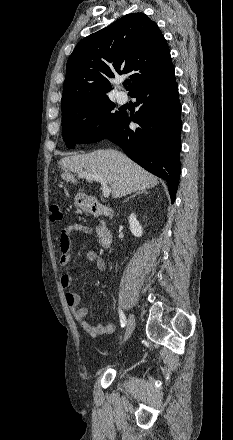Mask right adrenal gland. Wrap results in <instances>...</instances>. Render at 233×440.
I'll use <instances>...</instances> for the list:
<instances>
[{
    "label": "right adrenal gland",
    "mask_w": 233,
    "mask_h": 440,
    "mask_svg": "<svg viewBox=\"0 0 233 440\" xmlns=\"http://www.w3.org/2000/svg\"><path fill=\"white\" fill-rule=\"evenodd\" d=\"M142 193L147 194V191H146V190L138 191V192L135 193L134 195L128 197V198L125 200V202H127L130 198L135 197L136 195H138V194H142Z\"/></svg>",
    "instance_id": "obj_1"
}]
</instances>
